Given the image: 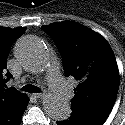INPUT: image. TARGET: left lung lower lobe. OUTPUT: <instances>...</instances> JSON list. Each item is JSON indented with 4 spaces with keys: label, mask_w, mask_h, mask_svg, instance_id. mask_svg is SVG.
<instances>
[{
    "label": "left lung lower lobe",
    "mask_w": 125,
    "mask_h": 125,
    "mask_svg": "<svg viewBox=\"0 0 125 125\" xmlns=\"http://www.w3.org/2000/svg\"><path fill=\"white\" fill-rule=\"evenodd\" d=\"M105 121L93 117H87L78 113H71V116L62 121H57V125H102Z\"/></svg>",
    "instance_id": "0a47b994"
}]
</instances>
